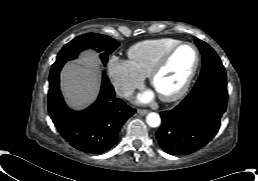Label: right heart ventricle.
Masks as SVG:
<instances>
[{
    "mask_svg": "<svg viewBox=\"0 0 258 181\" xmlns=\"http://www.w3.org/2000/svg\"><path fill=\"white\" fill-rule=\"evenodd\" d=\"M178 42L180 40L174 38H159L136 43L127 52L128 63L145 78L149 76L158 59Z\"/></svg>",
    "mask_w": 258,
    "mask_h": 181,
    "instance_id": "obj_1",
    "label": "right heart ventricle"
}]
</instances>
